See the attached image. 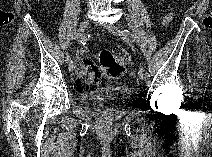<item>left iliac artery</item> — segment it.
Wrapping results in <instances>:
<instances>
[{
	"instance_id": "44dca946",
	"label": "left iliac artery",
	"mask_w": 212,
	"mask_h": 157,
	"mask_svg": "<svg viewBox=\"0 0 212 157\" xmlns=\"http://www.w3.org/2000/svg\"><path fill=\"white\" fill-rule=\"evenodd\" d=\"M123 39L127 40V41H134V37L133 35L128 31V30H124L123 31ZM145 78L149 79L150 78V73L145 71Z\"/></svg>"
}]
</instances>
